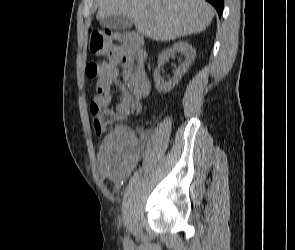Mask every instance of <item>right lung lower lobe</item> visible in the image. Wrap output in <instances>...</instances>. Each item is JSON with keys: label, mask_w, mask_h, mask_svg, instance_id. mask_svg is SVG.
Here are the masks:
<instances>
[{"label": "right lung lower lobe", "mask_w": 295, "mask_h": 250, "mask_svg": "<svg viewBox=\"0 0 295 250\" xmlns=\"http://www.w3.org/2000/svg\"><path fill=\"white\" fill-rule=\"evenodd\" d=\"M206 1L211 3L217 10L219 16H221L223 12L224 0H206Z\"/></svg>", "instance_id": "right-lung-lower-lobe-1"}]
</instances>
